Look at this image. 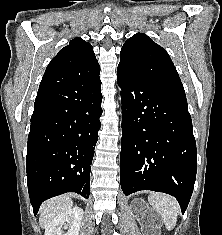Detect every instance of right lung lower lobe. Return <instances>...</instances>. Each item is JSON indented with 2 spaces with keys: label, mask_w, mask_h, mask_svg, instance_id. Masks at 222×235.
<instances>
[{
  "label": "right lung lower lobe",
  "mask_w": 222,
  "mask_h": 235,
  "mask_svg": "<svg viewBox=\"0 0 222 235\" xmlns=\"http://www.w3.org/2000/svg\"><path fill=\"white\" fill-rule=\"evenodd\" d=\"M101 101L99 74L70 83L40 84L26 158L35 215L43 201L66 192L89 197Z\"/></svg>",
  "instance_id": "right-lung-lower-lobe-1"
}]
</instances>
